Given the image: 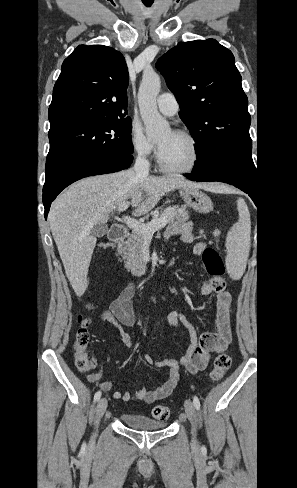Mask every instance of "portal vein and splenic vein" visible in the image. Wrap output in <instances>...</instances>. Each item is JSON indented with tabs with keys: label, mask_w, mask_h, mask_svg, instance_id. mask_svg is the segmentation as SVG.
I'll use <instances>...</instances> for the list:
<instances>
[{
	"label": "portal vein and splenic vein",
	"mask_w": 297,
	"mask_h": 488,
	"mask_svg": "<svg viewBox=\"0 0 297 488\" xmlns=\"http://www.w3.org/2000/svg\"><path fill=\"white\" fill-rule=\"evenodd\" d=\"M130 205L129 201H125L122 204L118 206V211L123 212L125 211ZM169 208L166 209L168 211ZM124 222L126 225L132 229L133 231H136L140 234H142L145 238L151 239L154 232L156 230H159L167 225L169 222L168 219V213L164 212L159 218L153 219L149 223H141L138 220L131 218V217H124Z\"/></svg>",
	"instance_id": "portal-vein-and-splenic-vein-1"
}]
</instances>
